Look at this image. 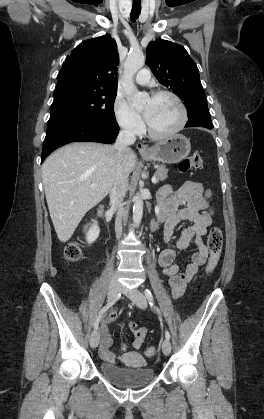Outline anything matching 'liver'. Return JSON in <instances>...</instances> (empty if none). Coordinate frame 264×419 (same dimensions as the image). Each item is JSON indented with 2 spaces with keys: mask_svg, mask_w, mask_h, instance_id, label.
<instances>
[{
  "mask_svg": "<svg viewBox=\"0 0 264 419\" xmlns=\"http://www.w3.org/2000/svg\"><path fill=\"white\" fill-rule=\"evenodd\" d=\"M115 145L75 142L51 154L42 165L46 200L58 239L68 241L84 215L110 192L115 182ZM136 155L128 148L121 161L128 176ZM96 187H91V184Z\"/></svg>",
  "mask_w": 264,
  "mask_h": 419,
  "instance_id": "6515ba94",
  "label": "liver"
}]
</instances>
